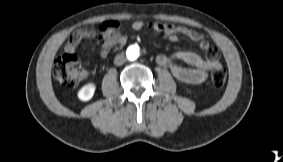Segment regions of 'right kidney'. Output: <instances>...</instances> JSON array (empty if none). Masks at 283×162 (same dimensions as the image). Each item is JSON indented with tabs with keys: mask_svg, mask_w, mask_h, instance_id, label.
<instances>
[{
	"mask_svg": "<svg viewBox=\"0 0 283 162\" xmlns=\"http://www.w3.org/2000/svg\"><path fill=\"white\" fill-rule=\"evenodd\" d=\"M96 86L93 83H89L85 86H83L79 91H78V98L81 101H89L95 92Z\"/></svg>",
	"mask_w": 283,
	"mask_h": 162,
	"instance_id": "1",
	"label": "right kidney"
}]
</instances>
